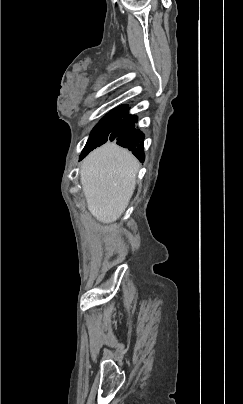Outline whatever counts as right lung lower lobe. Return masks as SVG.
Listing matches in <instances>:
<instances>
[{"mask_svg": "<svg viewBox=\"0 0 243 404\" xmlns=\"http://www.w3.org/2000/svg\"><path fill=\"white\" fill-rule=\"evenodd\" d=\"M127 109L114 124L107 141H116L118 145L128 148L143 162L145 158L142 141L144 135L140 130L135 128L137 117L129 115Z\"/></svg>", "mask_w": 243, "mask_h": 404, "instance_id": "98d812e1", "label": "right lung lower lobe"}]
</instances>
